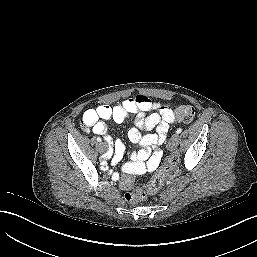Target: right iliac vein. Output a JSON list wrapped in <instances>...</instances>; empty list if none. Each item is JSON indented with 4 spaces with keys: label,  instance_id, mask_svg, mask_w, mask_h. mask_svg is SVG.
<instances>
[{
    "label": "right iliac vein",
    "instance_id": "63e3f726",
    "mask_svg": "<svg viewBox=\"0 0 257 257\" xmlns=\"http://www.w3.org/2000/svg\"><path fill=\"white\" fill-rule=\"evenodd\" d=\"M99 149H100L101 152H105L106 149H107V146L103 142H101L99 144Z\"/></svg>",
    "mask_w": 257,
    "mask_h": 257
}]
</instances>
